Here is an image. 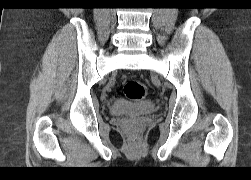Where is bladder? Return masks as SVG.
Instances as JSON below:
<instances>
[{
	"label": "bladder",
	"mask_w": 251,
	"mask_h": 180,
	"mask_svg": "<svg viewBox=\"0 0 251 180\" xmlns=\"http://www.w3.org/2000/svg\"><path fill=\"white\" fill-rule=\"evenodd\" d=\"M156 109L152 101L130 102L123 99H118L110 106L112 115L121 116H138L154 112Z\"/></svg>",
	"instance_id": "bladder-1"
}]
</instances>
